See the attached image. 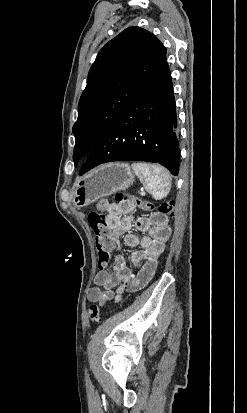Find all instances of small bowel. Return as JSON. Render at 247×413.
<instances>
[{
    "mask_svg": "<svg viewBox=\"0 0 247 413\" xmlns=\"http://www.w3.org/2000/svg\"><path fill=\"white\" fill-rule=\"evenodd\" d=\"M96 207L98 211L107 213L106 224L111 245H119V238L124 235L126 246H140V250L131 256L136 272H132L125 258L118 255L110 269L105 267L97 273L95 286L89 289L87 299L103 305L109 301L119 302L123 291L136 292L148 285L155 275L158 259L166 248L171 228L167 221L155 225L152 217L136 218L133 213L134 205L131 203L100 200ZM132 227L142 231L143 235L139 237L129 232ZM115 287L117 289L113 292Z\"/></svg>",
    "mask_w": 247,
    "mask_h": 413,
    "instance_id": "small-bowel-1",
    "label": "small bowel"
}]
</instances>
